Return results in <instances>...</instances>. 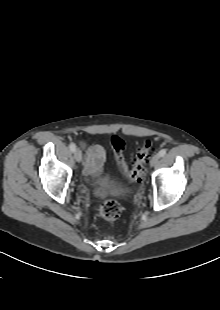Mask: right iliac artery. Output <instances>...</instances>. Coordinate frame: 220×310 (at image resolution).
Here are the masks:
<instances>
[{"label": "right iliac artery", "instance_id": "82829eb1", "mask_svg": "<svg viewBox=\"0 0 220 310\" xmlns=\"http://www.w3.org/2000/svg\"><path fill=\"white\" fill-rule=\"evenodd\" d=\"M69 148H70V150H71L72 152H74V151L76 150V146H75L74 143H70V144H69Z\"/></svg>", "mask_w": 220, "mask_h": 310}]
</instances>
